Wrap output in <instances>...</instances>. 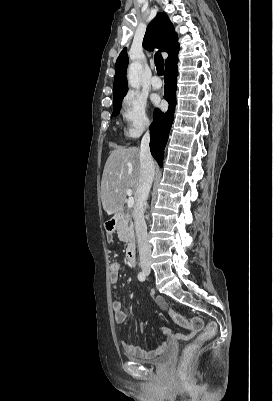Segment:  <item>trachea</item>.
Here are the masks:
<instances>
[{"label": "trachea", "mask_w": 273, "mask_h": 401, "mask_svg": "<svg viewBox=\"0 0 273 401\" xmlns=\"http://www.w3.org/2000/svg\"><path fill=\"white\" fill-rule=\"evenodd\" d=\"M154 61L158 75L162 76L164 74V59L160 52L155 54Z\"/></svg>", "instance_id": "obj_1"}]
</instances>
